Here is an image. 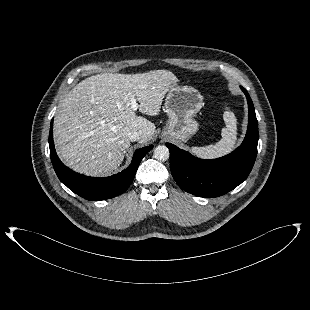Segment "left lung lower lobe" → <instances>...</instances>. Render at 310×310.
<instances>
[{
    "label": "left lung lower lobe",
    "mask_w": 310,
    "mask_h": 310,
    "mask_svg": "<svg viewBox=\"0 0 310 310\" xmlns=\"http://www.w3.org/2000/svg\"><path fill=\"white\" fill-rule=\"evenodd\" d=\"M248 101V129L243 143L232 153L217 159L204 160L171 143L170 169L176 183L186 192L212 198L221 196L241 184L249 175L257 155L258 123L248 92L241 87Z\"/></svg>",
    "instance_id": "left-lung-lower-lobe-1"
}]
</instances>
